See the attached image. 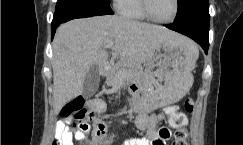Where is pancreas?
Instances as JSON below:
<instances>
[{"instance_id":"pancreas-1","label":"pancreas","mask_w":243,"mask_h":145,"mask_svg":"<svg viewBox=\"0 0 243 145\" xmlns=\"http://www.w3.org/2000/svg\"><path fill=\"white\" fill-rule=\"evenodd\" d=\"M142 77V69L127 61H119L113 64L107 74V85L115 86L123 80L139 79Z\"/></svg>"}]
</instances>
